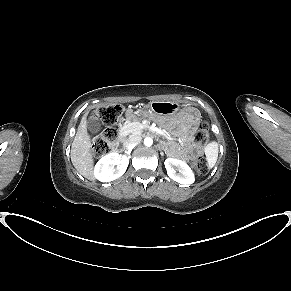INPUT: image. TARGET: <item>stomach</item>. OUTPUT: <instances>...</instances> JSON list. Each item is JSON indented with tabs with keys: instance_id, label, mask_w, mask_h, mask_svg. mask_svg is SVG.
<instances>
[{
	"instance_id": "0dacf381",
	"label": "stomach",
	"mask_w": 291,
	"mask_h": 291,
	"mask_svg": "<svg viewBox=\"0 0 291 291\" xmlns=\"http://www.w3.org/2000/svg\"><path fill=\"white\" fill-rule=\"evenodd\" d=\"M149 105L155 114L168 117H173V111L181 108L178 103L172 101H152Z\"/></svg>"
}]
</instances>
